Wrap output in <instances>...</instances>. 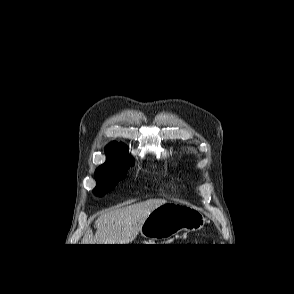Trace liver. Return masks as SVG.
Segmentation results:
<instances>
[{
    "label": "liver",
    "mask_w": 294,
    "mask_h": 294,
    "mask_svg": "<svg viewBox=\"0 0 294 294\" xmlns=\"http://www.w3.org/2000/svg\"><path fill=\"white\" fill-rule=\"evenodd\" d=\"M164 203H166L164 199H149L108 210L96 220L95 235L91 229H88L82 244H129L140 233L141 226L148 215Z\"/></svg>",
    "instance_id": "obj_1"
}]
</instances>
